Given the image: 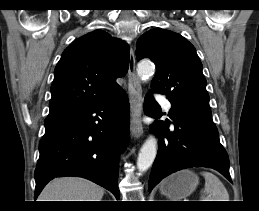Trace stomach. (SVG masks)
<instances>
[{
    "label": "stomach",
    "mask_w": 259,
    "mask_h": 211,
    "mask_svg": "<svg viewBox=\"0 0 259 211\" xmlns=\"http://www.w3.org/2000/svg\"><path fill=\"white\" fill-rule=\"evenodd\" d=\"M198 183L199 178L195 173L183 170L165 179L160 185V191L169 199L177 201L192 194Z\"/></svg>",
    "instance_id": "0dacf381"
}]
</instances>
